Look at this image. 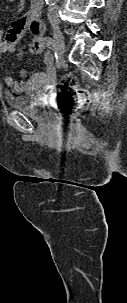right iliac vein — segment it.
I'll use <instances>...</instances> for the list:
<instances>
[{"instance_id":"1","label":"right iliac vein","mask_w":127,"mask_h":303,"mask_svg":"<svg viewBox=\"0 0 127 303\" xmlns=\"http://www.w3.org/2000/svg\"><path fill=\"white\" fill-rule=\"evenodd\" d=\"M51 26L53 30V37L55 42V48L59 56H62L65 52L64 37L59 27V22L57 20H51Z\"/></svg>"}]
</instances>
